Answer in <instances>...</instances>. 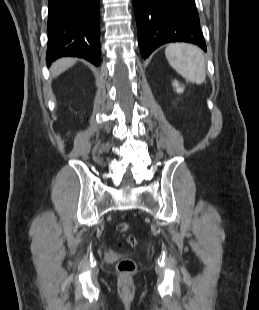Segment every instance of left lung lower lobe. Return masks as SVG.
Returning a JSON list of instances; mask_svg holds the SVG:
<instances>
[{"label":"left lung lower lobe","instance_id":"left-lung-lower-lobe-1","mask_svg":"<svg viewBox=\"0 0 259 310\" xmlns=\"http://www.w3.org/2000/svg\"><path fill=\"white\" fill-rule=\"evenodd\" d=\"M144 59L169 42H189L206 51L195 0H133Z\"/></svg>","mask_w":259,"mask_h":310}]
</instances>
